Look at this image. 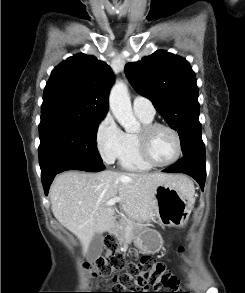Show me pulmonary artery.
I'll use <instances>...</instances> for the list:
<instances>
[{
	"mask_svg": "<svg viewBox=\"0 0 245 293\" xmlns=\"http://www.w3.org/2000/svg\"><path fill=\"white\" fill-rule=\"evenodd\" d=\"M133 110L136 115L152 118L155 115V108L152 102L144 96H136L133 100Z\"/></svg>",
	"mask_w": 245,
	"mask_h": 293,
	"instance_id": "1",
	"label": "pulmonary artery"
}]
</instances>
